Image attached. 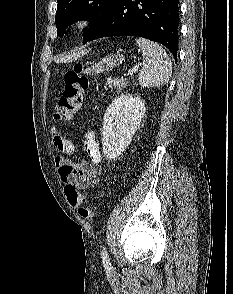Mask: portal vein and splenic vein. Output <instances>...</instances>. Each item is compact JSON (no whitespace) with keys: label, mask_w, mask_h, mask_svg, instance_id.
Masks as SVG:
<instances>
[{"label":"portal vein and splenic vein","mask_w":233,"mask_h":294,"mask_svg":"<svg viewBox=\"0 0 233 294\" xmlns=\"http://www.w3.org/2000/svg\"><path fill=\"white\" fill-rule=\"evenodd\" d=\"M138 70H139V65L138 66H135L129 73H128V75L130 76V77H132L135 73H137L138 72ZM122 79H123V77H122Z\"/></svg>","instance_id":"obj_1"}]
</instances>
